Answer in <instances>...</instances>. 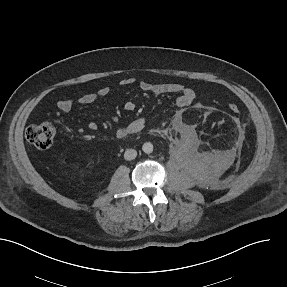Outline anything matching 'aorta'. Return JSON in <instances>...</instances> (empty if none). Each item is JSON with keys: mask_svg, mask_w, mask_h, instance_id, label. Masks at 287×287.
Listing matches in <instances>:
<instances>
[{"mask_svg": "<svg viewBox=\"0 0 287 287\" xmlns=\"http://www.w3.org/2000/svg\"><path fill=\"white\" fill-rule=\"evenodd\" d=\"M142 150H143V152L146 153V154L152 153V151H153V145H152V143H150V142L144 143L143 146H142Z\"/></svg>", "mask_w": 287, "mask_h": 287, "instance_id": "1", "label": "aorta"}]
</instances>
